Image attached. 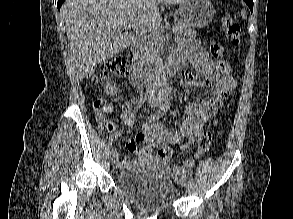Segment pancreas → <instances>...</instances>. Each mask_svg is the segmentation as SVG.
Returning <instances> with one entry per match:
<instances>
[{"label": "pancreas", "mask_w": 293, "mask_h": 219, "mask_svg": "<svg viewBox=\"0 0 293 219\" xmlns=\"http://www.w3.org/2000/svg\"><path fill=\"white\" fill-rule=\"evenodd\" d=\"M175 33L183 37H195L197 33L192 29V26L182 19L176 18L173 27ZM162 41V36L159 30H152L146 37L145 47L148 50L150 57H154L159 49V42Z\"/></svg>", "instance_id": "1"}]
</instances>
